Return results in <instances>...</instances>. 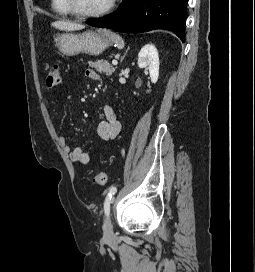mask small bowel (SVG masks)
I'll return each mask as SVG.
<instances>
[{
    "mask_svg": "<svg viewBox=\"0 0 255 272\" xmlns=\"http://www.w3.org/2000/svg\"><path fill=\"white\" fill-rule=\"evenodd\" d=\"M86 76L94 81H101L102 76L95 70L88 69ZM71 96H69L70 98ZM103 120L97 125V135L104 141H112L121 130V123L114 108L110 105L101 107ZM63 149L69 153L70 159L75 164H87L90 160L89 154L82 147L72 148L65 137L60 138Z\"/></svg>",
    "mask_w": 255,
    "mask_h": 272,
    "instance_id": "1",
    "label": "small bowel"
}]
</instances>
